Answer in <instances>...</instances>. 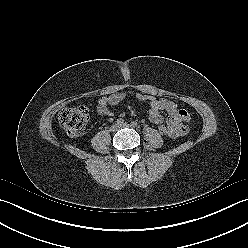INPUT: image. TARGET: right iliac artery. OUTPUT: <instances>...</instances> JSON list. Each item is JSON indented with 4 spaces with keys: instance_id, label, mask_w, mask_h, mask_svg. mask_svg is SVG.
Instances as JSON below:
<instances>
[{
    "instance_id": "1",
    "label": "right iliac artery",
    "mask_w": 248,
    "mask_h": 248,
    "mask_svg": "<svg viewBox=\"0 0 248 248\" xmlns=\"http://www.w3.org/2000/svg\"><path fill=\"white\" fill-rule=\"evenodd\" d=\"M116 122H117V124L121 125V124H123V123H124V120L120 118V119H117V121H116Z\"/></svg>"
}]
</instances>
